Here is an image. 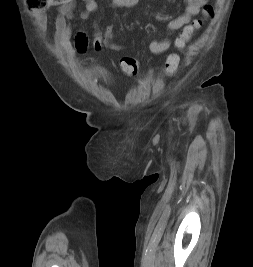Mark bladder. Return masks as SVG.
Instances as JSON below:
<instances>
[{"label": "bladder", "mask_w": 253, "mask_h": 267, "mask_svg": "<svg viewBox=\"0 0 253 267\" xmlns=\"http://www.w3.org/2000/svg\"><path fill=\"white\" fill-rule=\"evenodd\" d=\"M91 72L94 74H98V73H101L102 71L98 67L94 66V67H91Z\"/></svg>", "instance_id": "bladder-1"}]
</instances>
